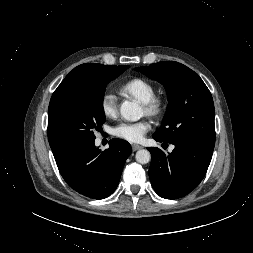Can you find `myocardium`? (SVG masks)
<instances>
[{
  "instance_id": "myocardium-1",
  "label": "myocardium",
  "mask_w": 253,
  "mask_h": 253,
  "mask_svg": "<svg viewBox=\"0 0 253 253\" xmlns=\"http://www.w3.org/2000/svg\"><path fill=\"white\" fill-rule=\"evenodd\" d=\"M165 107V99L159 95H154L148 101L143 102L145 114L151 117L161 116L165 110Z\"/></svg>"
}]
</instances>
